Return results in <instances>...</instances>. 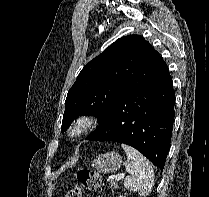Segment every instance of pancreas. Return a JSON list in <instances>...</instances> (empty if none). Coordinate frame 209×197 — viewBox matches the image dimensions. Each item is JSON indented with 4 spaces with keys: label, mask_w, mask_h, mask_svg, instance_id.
Masks as SVG:
<instances>
[{
    "label": "pancreas",
    "mask_w": 209,
    "mask_h": 197,
    "mask_svg": "<svg viewBox=\"0 0 209 197\" xmlns=\"http://www.w3.org/2000/svg\"><path fill=\"white\" fill-rule=\"evenodd\" d=\"M111 184H112V186H114V188H116L117 187V185H116V183L115 182H111Z\"/></svg>",
    "instance_id": "obj_1"
}]
</instances>
